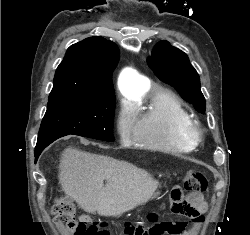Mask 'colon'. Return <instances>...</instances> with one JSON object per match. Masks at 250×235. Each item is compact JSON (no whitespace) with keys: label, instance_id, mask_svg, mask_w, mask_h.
<instances>
[{"label":"colon","instance_id":"obj_1","mask_svg":"<svg viewBox=\"0 0 250 235\" xmlns=\"http://www.w3.org/2000/svg\"><path fill=\"white\" fill-rule=\"evenodd\" d=\"M208 182L206 176L198 171H189L183 179V190L187 193L190 202L199 201V196L207 189ZM182 190L175 188L171 193L173 202V210L181 211L182 206ZM52 213L54 218L63 223L72 233L71 235H111V232L103 225L87 224L83 221H78L75 215L74 203L66 197H60L56 200ZM134 226H126L125 234H129L130 228ZM163 230L159 222H155L148 229L137 228L136 235H160Z\"/></svg>","mask_w":250,"mask_h":235}]
</instances>
